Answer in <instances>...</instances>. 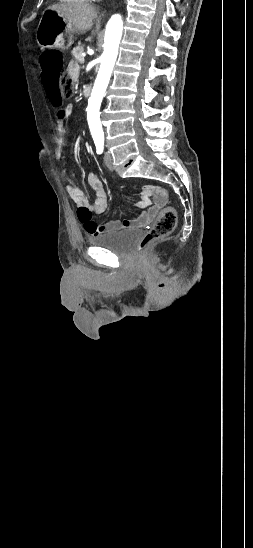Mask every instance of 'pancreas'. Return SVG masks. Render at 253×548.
Masks as SVG:
<instances>
[{
    "instance_id": "pancreas-1",
    "label": "pancreas",
    "mask_w": 253,
    "mask_h": 548,
    "mask_svg": "<svg viewBox=\"0 0 253 548\" xmlns=\"http://www.w3.org/2000/svg\"><path fill=\"white\" fill-rule=\"evenodd\" d=\"M83 46H77V47H74L71 54L73 55V57L76 59V61H80V58L82 57V52H83Z\"/></svg>"
}]
</instances>
